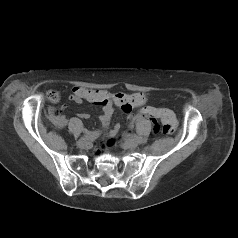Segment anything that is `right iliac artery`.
<instances>
[{
    "mask_svg": "<svg viewBox=\"0 0 238 238\" xmlns=\"http://www.w3.org/2000/svg\"><path fill=\"white\" fill-rule=\"evenodd\" d=\"M99 135H100V132H99V131L86 132V133L83 135V138H86V139H95V138H97Z\"/></svg>",
    "mask_w": 238,
    "mask_h": 238,
    "instance_id": "82829eb1",
    "label": "right iliac artery"
}]
</instances>
